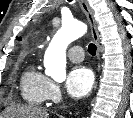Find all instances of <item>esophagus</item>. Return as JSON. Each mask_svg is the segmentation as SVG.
<instances>
[{"instance_id":"1","label":"esophagus","mask_w":133,"mask_h":118,"mask_svg":"<svg viewBox=\"0 0 133 118\" xmlns=\"http://www.w3.org/2000/svg\"><path fill=\"white\" fill-rule=\"evenodd\" d=\"M78 2L80 4L82 11L84 12V14L86 15L88 19L90 29H91V35H92L93 41L95 42L97 46V57L98 59H100V53H101L100 37H99L98 30H97V24L94 18L93 10L89 6V3L87 0H78Z\"/></svg>"}]
</instances>
